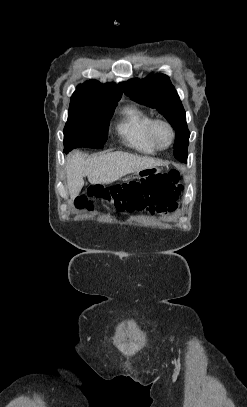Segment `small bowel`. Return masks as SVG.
Masks as SVG:
<instances>
[{"instance_id":"obj_1","label":"small bowel","mask_w":247,"mask_h":407,"mask_svg":"<svg viewBox=\"0 0 247 407\" xmlns=\"http://www.w3.org/2000/svg\"><path fill=\"white\" fill-rule=\"evenodd\" d=\"M178 207V203H167V202H152L148 203L142 210L139 212H144L150 216L160 215L165 216L167 214L173 213Z\"/></svg>"}]
</instances>
